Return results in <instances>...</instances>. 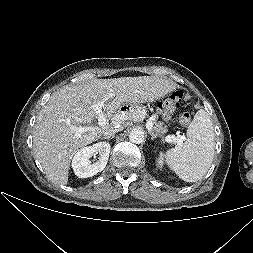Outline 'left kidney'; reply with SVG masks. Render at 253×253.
I'll return each instance as SVG.
<instances>
[{"instance_id":"5707ae66","label":"left kidney","mask_w":253,"mask_h":253,"mask_svg":"<svg viewBox=\"0 0 253 253\" xmlns=\"http://www.w3.org/2000/svg\"><path fill=\"white\" fill-rule=\"evenodd\" d=\"M157 163H158L159 167H161V168L163 167L164 162H163V154H162V152L159 155V159H158Z\"/></svg>"}]
</instances>
